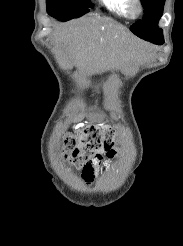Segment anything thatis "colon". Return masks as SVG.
<instances>
[{
	"instance_id": "colon-1",
	"label": "colon",
	"mask_w": 183,
	"mask_h": 246,
	"mask_svg": "<svg viewBox=\"0 0 183 246\" xmlns=\"http://www.w3.org/2000/svg\"><path fill=\"white\" fill-rule=\"evenodd\" d=\"M62 143L63 156L75 167H84L96 153L101 151L106 152L109 160L119 154L118 142L110 127L89 125L79 136L64 134Z\"/></svg>"
}]
</instances>
